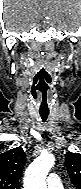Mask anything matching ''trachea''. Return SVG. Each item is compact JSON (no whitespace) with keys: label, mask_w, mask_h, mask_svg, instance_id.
Listing matches in <instances>:
<instances>
[{"label":"trachea","mask_w":81,"mask_h":189,"mask_svg":"<svg viewBox=\"0 0 81 189\" xmlns=\"http://www.w3.org/2000/svg\"><path fill=\"white\" fill-rule=\"evenodd\" d=\"M49 112H40V116L43 122H45L48 118Z\"/></svg>","instance_id":"trachea-1"}]
</instances>
